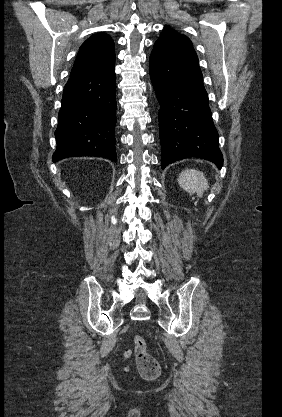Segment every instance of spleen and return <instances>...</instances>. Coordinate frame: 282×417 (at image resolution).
Listing matches in <instances>:
<instances>
[{
  "instance_id": "spleen-1",
  "label": "spleen",
  "mask_w": 282,
  "mask_h": 417,
  "mask_svg": "<svg viewBox=\"0 0 282 417\" xmlns=\"http://www.w3.org/2000/svg\"><path fill=\"white\" fill-rule=\"evenodd\" d=\"M178 184H180L181 188L190 192V194L197 192L198 196H202L204 190L209 188L208 180L206 176H204V172L195 170V168H186V170H182L178 178Z\"/></svg>"
}]
</instances>
